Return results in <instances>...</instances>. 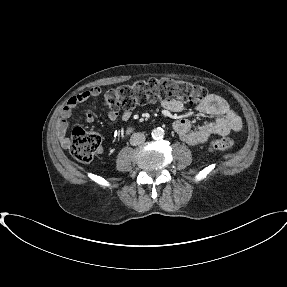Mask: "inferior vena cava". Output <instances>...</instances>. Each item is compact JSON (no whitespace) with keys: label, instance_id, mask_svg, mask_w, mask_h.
Returning <instances> with one entry per match:
<instances>
[{"label":"inferior vena cava","instance_id":"602c4592","mask_svg":"<svg viewBox=\"0 0 287 287\" xmlns=\"http://www.w3.org/2000/svg\"><path fill=\"white\" fill-rule=\"evenodd\" d=\"M145 135L143 133H134L130 138V144L133 146L141 145L145 142Z\"/></svg>","mask_w":287,"mask_h":287}]
</instances>
